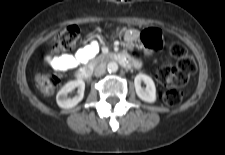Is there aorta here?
Returning a JSON list of instances; mask_svg holds the SVG:
<instances>
[{
	"mask_svg": "<svg viewBox=\"0 0 225 155\" xmlns=\"http://www.w3.org/2000/svg\"><path fill=\"white\" fill-rule=\"evenodd\" d=\"M107 70L109 72H116L118 70V64L116 62H114V61L109 62L107 64Z\"/></svg>",
	"mask_w": 225,
	"mask_h": 155,
	"instance_id": "aorta-1",
	"label": "aorta"
}]
</instances>
